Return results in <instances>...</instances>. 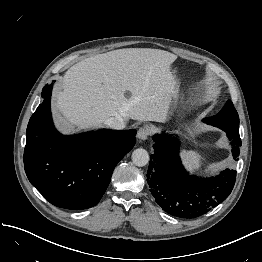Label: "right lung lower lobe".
Listing matches in <instances>:
<instances>
[{
	"mask_svg": "<svg viewBox=\"0 0 262 262\" xmlns=\"http://www.w3.org/2000/svg\"><path fill=\"white\" fill-rule=\"evenodd\" d=\"M51 91L52 85L43 88V103L28 123L25 172L53 205L87 209L100 201L115 166L135 145L136 130L101 129L62 136L51 118Z\"/></svg>",
	"mask_w": 262,
	"mask_h": 262,
	"instance_id": "98d812e1",
	"label": "right lung lower lobe"
}]
</instances>
